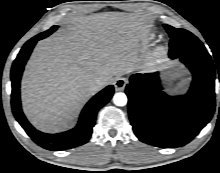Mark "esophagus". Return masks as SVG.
<instances>
[{"mask_svg": "<svg viewBox=\"0 0 220 173\" xmlns=\"http://www.w3.org/2000/svg\"><path fill=\"white\" fill-rule=\"evenodd\" d=\"M127 79L126 78H117L114 82V87L116 91H123L126 87Z\"/></svg>", "mask_w": 220, "mask_h": 173, "instance_id": "1", "label": "esophagus"}]
</instances>
